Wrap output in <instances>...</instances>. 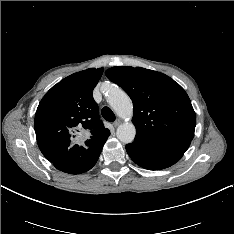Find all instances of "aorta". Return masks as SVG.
Listing matches in <instances>:
<instances>
[{
    "mask_svg": "<svg viewBox=\"0 0 234 234\" xmlns=\"http://www.w3.org/2000/svg\"><path fill=\"white\" fill-rule=\"evenodd\" d=\"M107 92V101L115 113L120 118L130 119L133 115V106L129 96L117 86H109ZM116 135L122 143H131L136 135L134 124L125 122L119 125Z\"/></svg>",
    "mask_w": 234,
    "mask_h": 234,
    "instance_id": "762f6f07",
    "label": "aorta"
}]
</instances>
